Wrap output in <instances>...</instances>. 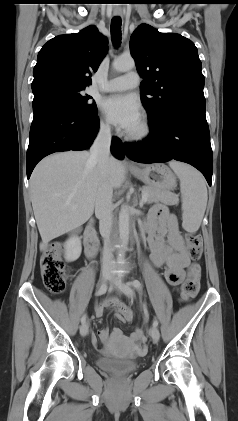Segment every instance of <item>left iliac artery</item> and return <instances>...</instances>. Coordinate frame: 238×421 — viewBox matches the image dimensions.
<instances>
[{
	"instance_id": "44dca946",
	"label": "left iliac artery",
	"mask_w": 238,
	"mask_h": 421,
	"mask_svg": "<svg viewBox=\"0 0 238 421\" xmlns=\"http://www.w3.org/2000/svg\"><path fill=\"white\" fill-rule=\"evenodd\" d=\"M130 284L133 287H135L137 290H140L141 289V283L138 280H133ZM157 325H158V321L157 320H154L153 321V326H157Z\"/></svg>"
}]
</instances>
